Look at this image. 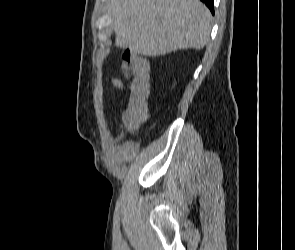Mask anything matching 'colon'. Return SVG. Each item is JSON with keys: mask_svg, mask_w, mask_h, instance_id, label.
<instances>
[{"mask_svg": "<svg viewBox=\"0 0 295 250\" xmlns=\"http://www.w3.org/2000/svg\"><path fill=\"white\" fill-rule=\"evenodd\" d=\"M131 53L125 52L123 56ZM129 97L122 110L121 118L128 130L138 129L148 118L149 83L142 77L133 78L128 84Z\"/></svg>", "mask_w": 295, "mask_h": 250, "instance_id": "1", "label": "colon"}]
</instances>
